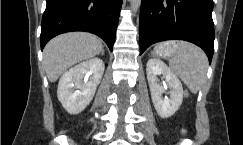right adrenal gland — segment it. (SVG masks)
Listing matches in <instances>:
<instances>
[{
  "mask_svg": "<svg viewBox=\"0 0 243 145\" xmlns=\"http://www.w3.org/2000/svg\"><path fill=\"white\" fill-rule=\"evenodd\" d=\"M101 55H102V56L104 55V49H102V51H101Z\"/></svg>",
  "mask_w": 243,
  "mask_h": 145,
  "instance_id": "1",
  "label": "right adrenal gland"
}]
</instances>
